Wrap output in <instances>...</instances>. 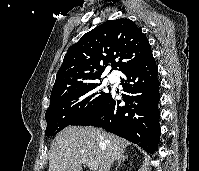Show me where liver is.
Segmentation results:
<instances>
[{
    "label": "liver",
    "instance_id": "obj_1",
    "mask_svg": "<svg viewBox=\"0 0 199 171\" xmlns=\"http://www.w3.org/2000/svg\"><path fill=\"white\" fill-rule=\"evenodd\" d=\"M128 146V141L92 126H68L51 146L49 171H81L94 162L98 171H110L111 164Z\"/></svg>",
    "mask_w": 199,
    "mask_h": 171
}]
</instances>
